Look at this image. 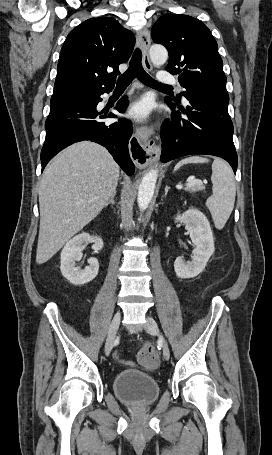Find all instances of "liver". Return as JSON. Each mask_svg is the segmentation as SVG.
Instances as JSON below:
<instances>
[{
  "mask_svg": "<svg viewBox=\"0 0 272 455\" xmlns=\"http://www.w3.org/2000/svg\"><path fill=\"white\" fill-rule=\"evenodd\" d=\"M119 174L108 151L89 141L71 145L47 165L39 187L37 264L52 258L100 213Z\"/></svg>",
  "mask_w": 272,
  "mask_h": 455,
  "instance_id": "obj_1",
  "label": "liver"
}]
</instances>
